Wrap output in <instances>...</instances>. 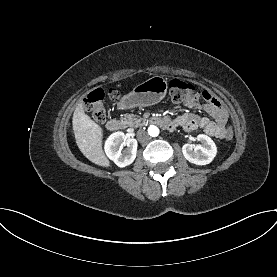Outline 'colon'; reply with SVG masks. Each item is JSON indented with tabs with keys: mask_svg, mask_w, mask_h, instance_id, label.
I'll return each mask as SVG.
<instances>
[{
	"mask_svg": "<svg viewBox=\"0 0 277 277\" xmlns=\"http://www.w3.org/2000/svg\"><path fill=\"white\" fill-rule=\"evenodd\" d=\"M169 93L172 100L176 103H188L197 99L198 92L195 87L179 79H173L169 83ZM111 93V96H115ZM104 92L101 89L93 90L85 99V109L88 111L96 123H103L106 119V108L103 104ZM235 139V126L228 124L226 126L224 140L231 142Z\"/></svg>",
	"mask_w": 277,
	"mask_h": 277,
	"instance_id": "obj_1",
	"label": "colon"
}]
</instances>
